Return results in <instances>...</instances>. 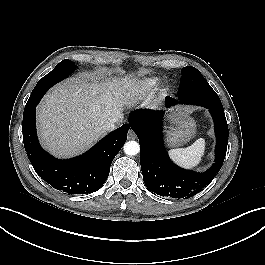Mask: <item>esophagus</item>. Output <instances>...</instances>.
Returning a JSON list of instances; mask_svg holds the SVG:
<instances>
[{
    "label": "esophagus",
    "mask_w": 265,
    "mask_h": 265,
    "mask_svg": "<svg viewBox=\"0 0 265 265\" xmlns=\"http://www.w3.org/2000/svg\"><path fill=\"white\" fill-rule=\"evenodd\" d=\"M128 138L129 139H135L136 138V134L132 129H130L128 132Z\"/></svg>",
    "instance_id": "34e87169"
}]
</instances>
